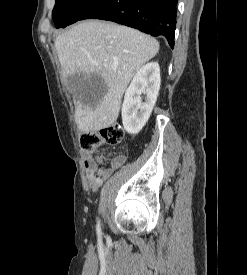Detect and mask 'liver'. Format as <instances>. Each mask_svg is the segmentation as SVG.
Wrapping results in <instances>:
<instances>
[{
  "label": "liver",
  "instance_id": "1",
  "mask_svg": "<svg viewBox=\"0 0 247 275\" xmlns=\"http://www.w3.org/2000/svg\"><path fill=\"white\" fill-rule=\"evenodd\" d=\"M55 47L65 80L84 72L99 74L104 81V94L96 92L87 103L74 97L75 122L84 133L116 122L123 93L135 71L159 51L158 41L149 35L99 20L81 22L60 34Z\"/></svg>",
  "mask_w": 247,
  "mask_h": 275
}]
</instances>
